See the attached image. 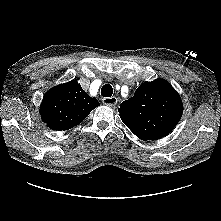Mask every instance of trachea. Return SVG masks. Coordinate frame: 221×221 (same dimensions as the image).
Returning <instances> with one entry per match:
<instances>
[{"label": "trachea", "instance_id": "1", "mask_svg": "<svg viewBox=\"0 0 221 221\" xmlns=\"http://www.w3.org/2000/svg\"><path fill=\"white\" fill-rule=\"evenodd\" d=\"M113 94V88L109 84H105L101 89V95L103 97H111Z\"/></svg>", "mask_w": 221, "mask_h": 221}]
</instances>
